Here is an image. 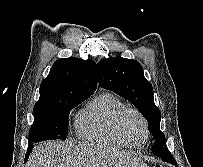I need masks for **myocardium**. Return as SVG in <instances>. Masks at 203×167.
I'll return each mask as SVG.
<instances>
[{
  "instance_id": "obj_1",
  "label": "myocardium",
  "mask_w": 203,
  "mask_h": 167,
  "mask_svg": "<svg viewBox=\"0 0 203 167\" xmlns=\"http://www.w3.org/2000/svg\"><path fill=\"white\" fill-rule=\"evenodd\" d=\"M129 113H133L135 115H137L139 117V119L141 120L142 124H143V127H144V141L140 144V145H136V144H133L132 142H130L128 140V138L126 137V135L124 134L123 130H122V127H121V123H122V120L123 118L129 114ZM114 127H115V130L117 132V134L131 147L133 148H140L142 146H144L147 141H148V138H149V124H148V120L146 119V117L144 116V114L138 110L137 108H133V107H125L124 109H122L116 119H115V122H114Z\"/></svg>"
}]
</instances>
